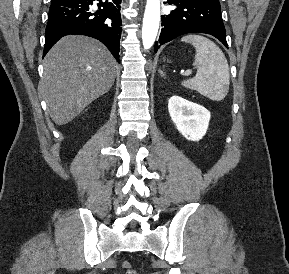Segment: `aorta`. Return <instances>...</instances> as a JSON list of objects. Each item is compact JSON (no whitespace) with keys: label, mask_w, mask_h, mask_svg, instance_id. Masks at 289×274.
<instances>
[{"label":"aorta","mask_w":289,"mask_h":274,"mask_svg":"<svg viewBox=\"0 0 289 274\" xmlns=\"http://www.w3.org/2000/svg\"><path fill=\"white\" fill-rule=\"evenodd\" d=\"M160 22V0H147L143 27L142 42L145 49H149L155 42Z\"/></svg>","instance_id":"aorta-1"}]
</instances>
